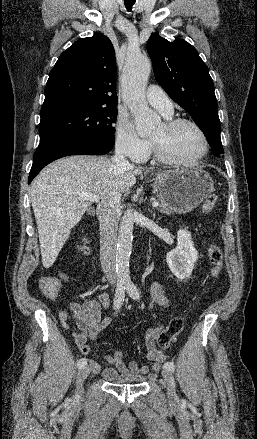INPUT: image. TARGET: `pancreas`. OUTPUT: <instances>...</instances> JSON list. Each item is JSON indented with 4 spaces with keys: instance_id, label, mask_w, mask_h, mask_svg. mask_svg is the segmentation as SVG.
I'll use <instances>...</instances> for the list:
<instances>
[{
    "instance_id": "1",
    "label": "pancreas",
    "mask_w": 257,
    "mask_h": 439,
    "mask_svg": "<svg viewBox=\"0 0 257 439\" xmlns=\"http://www.w3.org/2000/svg\"><path fill=\"white\" fill-rule=\"evenodd\" d=\"M156 201L160 202V206L158 207V211L170 215L174 212V209L168 204L166 201L158 198Z\"/></svg>"
}]
</instances>
